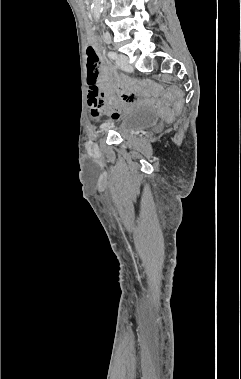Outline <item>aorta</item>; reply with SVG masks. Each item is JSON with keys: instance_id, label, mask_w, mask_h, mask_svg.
<instances>
[{"instance_id": "aorta-1", "label": "aorta", "mask_w": 241, "mask_h": 379, "mask_svg": "<svg viewBox=\"0 0 241 379\" xmlns=\"http://www.w3.org/2000/svg\"><path fill=\"white\" fill-rule=\"evenodd\" d=\"M102 12V0H93L92 13L95 20H99Z\"/></svg>"}]
</instances>
